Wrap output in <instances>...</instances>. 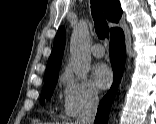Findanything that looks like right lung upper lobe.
Listing matches in <instances>:
<instances>
[{
	"label": "right lung upper lobe",
	"instance_id": "right-lung-upper-lobe-1",
	"mask_svg": "<svg viewBox=\"0 0 156 124\" xmlns=\"http://www.w3.org/2000/svg\"><path fill=\"white\" fill-rule=\"evenodd\" d=\"M103 10L105 12L106 18L117 23L122 15V9L118 0H100ZM119 28H112L110 33L114 32ZM65 47V29L61 27L55 37L52 53L49 57L45 77L56 75L59 71L61 65V59L63 56V51Z\"/></svg>",
	"mask_w": 156,
	"mask_h": 124
}]
</instances>
